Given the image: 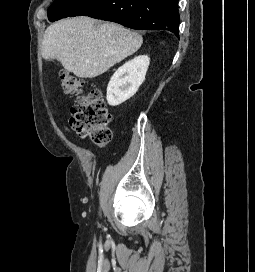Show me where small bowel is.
Masks as SVG:
<instances>
[{"label": "small bowel", "instance_id": "1", "mask_svg": "<svg viewBox=\"0 0 255 272\" xmlns=\"http://www.w3.org/2000/svg\"><path fill=\"white\" fill-rule=\"evenodd\" d=\"M64 131H65V132H68V129H67L66 127H64Z\"/></svg>", "mask_w": 255, "mask_h": 272}]
</instances>
